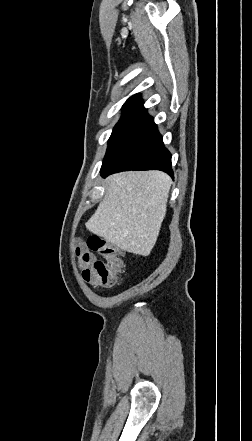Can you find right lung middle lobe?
<instances>
[{
	"label": "right lung middle lobe",
	"instance_id": "dd1d6c3e",
	"mask_svg": "<svg viewBox=\"0 0 252 441\" xmlns=\"http://www.w3.org/2000/svg\"><path fill=\"white\" fill-rule=\"evenodd\" d=\"M144 112L145 108L141 103L131 104L124 108L123 115L114 127L109 139L103 164L109 162L114 157L139 122Z\"/></svg>",
	"mask_w": 252,
	"mask_h": 441
}]
</instances>
